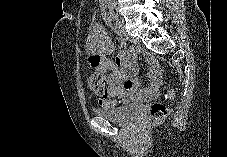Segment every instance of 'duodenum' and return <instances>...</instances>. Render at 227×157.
Returning a JSON list of instances; mask_svg holds the SVG:
<instances>
[{"instance_id": "410a0bca", "label": "duodenum", "mask_w": 227, "mask_h": 157, "mask_svg": "<svg viewBox=\"0 0 227 157\" xmlns=\"http://www.w3.org/2000/svg\"><path fill=\"white\" fill-rule=\"evenodd\" d=\"M117 16L116 15H114V14H111V15H108L107 16V22L108 23H115L116 24V22H117Z\"/></svg>"}]
</instances>
